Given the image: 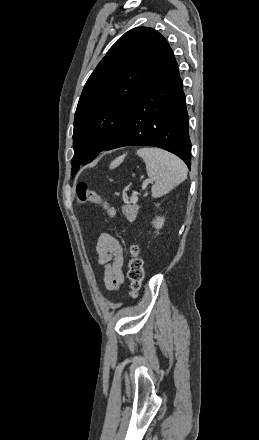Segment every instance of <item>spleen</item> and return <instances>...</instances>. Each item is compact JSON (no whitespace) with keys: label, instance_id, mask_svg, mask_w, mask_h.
Here are the masks:
<instances>
[{"label":"spleen","instance_id":"3e777b00","mask_svg":"<svg viewBox=\"0 0 259 440\" xmlns=\"http://www.w3.org/2000/svg\"><path fill=\"white\" fill-rule=\"evenodd\" d=\"M137 154L146 164L148 177L155 182L151 188L154 198L169 193L187 177V167L183 161L167 151L144 147Z\"/></svg>","mask_w":259,"mask_h":440}]
</instances>
